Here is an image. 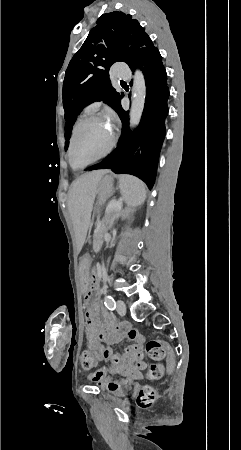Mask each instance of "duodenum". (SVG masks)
I'll return each instance as SVG.
<instances>
[{"mask_svg":"<svg viewBox=\"0 0 241 450\" xmlns=\"http://www.w3.org/2000/svg\"><path fill=\"white\" fill-rule=\"evenodd\" d=\"M90 288H91V291H92V292H96V291H97L98 285H97V282H96V279H95V278H92V279H91Z\"/></svg>","mask_w":241,"mask_h":450,"instance_id":"410a0bca","label":"duodenum"}]
</instances>
